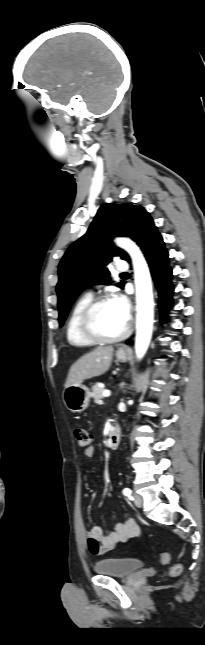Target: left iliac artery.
Wrapping results in <instances>:
<instances>
[{
    "mask_svg": "<svg viewBox=\"0 0 205 645\" xmlns=\"http://www.w3.org/2000/svg\"><path fill=\"white\" fill-rule=\"evenodd\" d=\"M123 494H124L125 496H128L129 498H132V496H131L132 491H131L129 488H125V489L123 490Z\"/></svg>",
    "mask_w": 205,
    "mask_h": 645,
    "instance_id": "44dca946",
    "label": "left iliac artery"
}]
</instances>
